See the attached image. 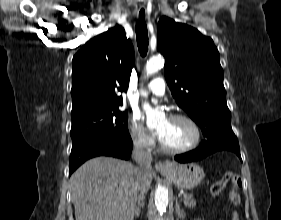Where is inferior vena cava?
<instances>
[{"label":"inferior vena cava","mask_w":281,"mask_h":220,"mask_svg":"<svg viewBox=\"0 0 281 220\" xmlns=\"http://www.w3.org/2000/svg\"><path fill=\"white\" fill-rule=\"evenodd\" d=\"M133 158L137 163V181L136 186L140 195L144 196V193L150 187L149 177L151 175V162H152V155L146 149V146L142 143L135 142L134 144V151H133Z\"/></svg>","instance_id":"obj_1"}]
</instances>
